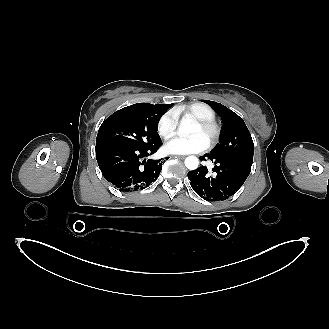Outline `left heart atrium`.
<instances>
[{"instance_id":"obj_1","label":"left heart atrium","mask_w":329,"mask_h":329,"mask_svg":"<svg viewBox=\"0 0 329 329\" xmlns=\"http://www.w3.org/2000/svg\"><path fill=\"white\" fill-rule=\"evenodd\" d=\"M208 147V142L200 135L187 138L177 137L165 144V150L172 154L199 153Z\"/></svg>"}]
</instances>
